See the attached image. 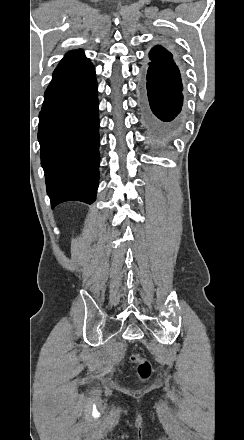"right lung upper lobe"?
<instances>
[{"label":"right lung upper lobe","mask_w":244,"mask_h":440,"mask_svg":"<svg viewBox=\"0 0 244 440\" xmlns=\"http://www.w3.org/2000/svg\"><path fill=\"white\" fill-rule=\"evenodd\" d=\"M78 62L81 64H90L91 62L87 59L81 49L71 51L61 60L58 66H61L66 63Z\"/></svg>","instance_id":"obj_1"}]
</instances>
